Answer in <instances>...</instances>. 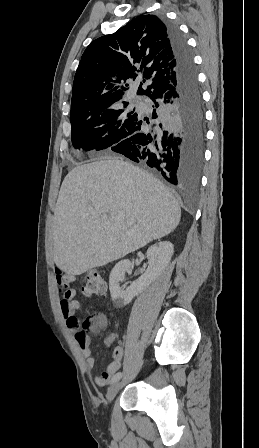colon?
<instances>
[{"label": "colon", "instance_id": "obj_1", "mask_svg": "<svg viewBox=\"0 0 259 448\" xmlns=\"http://www.w3.org/2000/svg\"><path fill=\"white\" fill-rule=\"evenodd\" d=\"M106 290V283L101 273L97 270L88 271L82 281V291L85 295H102ZM104 325V319L101 316L88 318L84 322L85 328L93 330L100 329Z\"/></svg>", "mask_w": 259, "mask_h": 448}]
</instances>
